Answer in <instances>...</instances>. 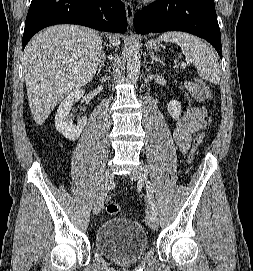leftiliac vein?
Here are the masks:
<instances>
[{"mask_svg": "<svg viewBox=\"0 0 253 271\" xmlns=\"http://www.w3.org/2000/svg\"><path fill=\"white\" fill-rule=\"evenodd\" d=\"M131 178L138 181L140 184H144L147 180V173L144 164H141L137 169L131 173ZM147 222L151 229L157 230L159 226L157 215L152 211L150 207L147 212Z\"/></svg>", "mask_w": 253, "mask_h": 271, "instance_id": "left-iliac-vein-1", "label": "left iliac vein"}]
</instances>
